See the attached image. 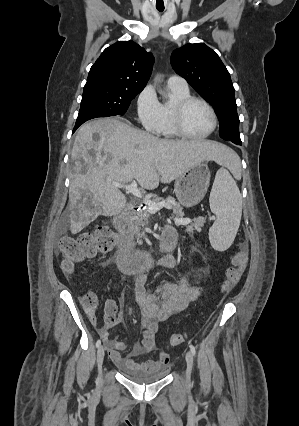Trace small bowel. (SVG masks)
I'll return each instance as SVG.
<instances>
[{
	"mask_svg": "<svg viewBox=\"0 0 299 426\" xmlns=\"http://www.w3.org/2000/svg\"><path fill=\"white\" fill-rule=\"evenodd\" d=\"M153 267L176 269L178 265L174 256L164 254L135 273L134 295L141 312L142 345L133 347L126 357H122L120 352L127 348V344L110 338V331L123 323L118 305L113 299L105 302L104 325L98 328V334L109 348L112 362L119 368L150 369L166 366L169 356L164 351L159 352L156 360L138 362L137 358L157 350L158 324L185 310L200 294V287L192 285L186 277H182L178 282L165 281L155 291L147 289L148 272ZM90 318L96 325L95 317L91 315Z\"/></svg>",
	"mask_w": 299,
	"mask_h": 426,
	"instance_id": "small-bowel-1",
	"label": "small bowel"
}]
</instances>
